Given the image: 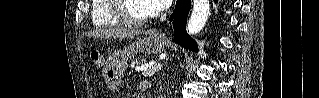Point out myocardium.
Returning <instances> with one entry per match:
<instances>
[{"label": "myocardium", "instance_id": "myocardium-1", "mask_svg": "<svg viewBox=\"0 0 319 98\" xmlns=\"http://www.w3.org/2000/svg\"><path fill=\"white\" fill-rule=\"evenodd\" d=\"M110 11L120 23L130 26L144 25L153 17L152 14H148L143 18L129 17L123 11V1L121 0H110Z\"/></svg>", "mask_w": 319, "mask_h": 98}]
</instances>
